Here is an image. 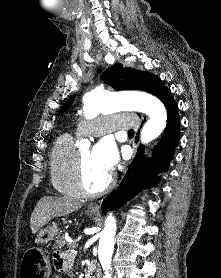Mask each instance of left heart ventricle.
Here are the masks:
<instances>
[{
  "label": "left heart ventricle",
  "mask_w": 221,
  "mask_h": 278,
  "mask_svg": "<svg viewBox=\"0 0 221 278\" xmlns=\"http://www.w3.org/2000/svg\"><path fill=\"white\" fill-rule=\"evenodd\" d=\"M81 153L86 185L92 190L99 189L106 183L110 174L93 161L92 152L89 149H83Z\"/></svg>",
  "instance_id": "obj_1"
}]
</instances>
